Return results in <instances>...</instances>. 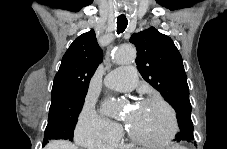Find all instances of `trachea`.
Returning <instances> with one entry per match:
<instances>
[{
	"label": "trachea",
	"mask_w": 227,
	"mask_h": 149,
	"mask_svg": "<svg viewBox=\"0 0 227 149\" xmlns=\"http://www.w3.org/2000/svg\"><path fill=\"white\" fill-rule=\"evenodd\" d=\"M128 21L117 19V33H123L124 30L127 28Z\"/></svg>",
	"instance_id": "obj_1"
}]
</instances>
